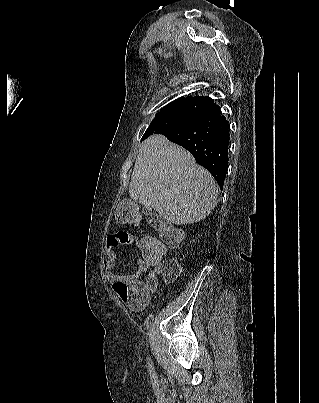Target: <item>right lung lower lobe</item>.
Here are the masks:
<instances>
[{"label":"right lung lower lobe","mask_w":319,"mask_h":403,"mask_svg":"<svg viewBox=\"0 0 319 403\" xmlns=\"http://www.w3.org/2000/svg\"><path fill=\"white\" fill-rule=\"evenodd\" d=\"M156 133L187 149L222 188L228 169L229 124L221 113Z\"/></svg>","instance_id":"right-lung-lower-lobe-1"}]
</instances>
